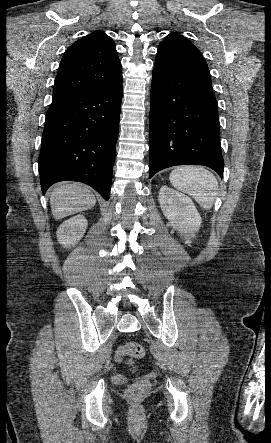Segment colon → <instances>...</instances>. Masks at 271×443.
<instances>
[{
  "label": "colon",
  "instance_id": "obj_1",
  "mask_svg": "<svg viewBox=\"0 0 271 443\" xmlns=\"http://www.w3.org/2000/svg\"><path fill=\"white\" fill-rule=\"evenodd\" d=\"M144 356V348L137 342L129 341L120 345L116 350V358L121 361L125 357L140 359ZM149 383L147 380L141 379L127 388V396L131 400L140 399L148 390Z\"/></svg>",
  "mask_w": 271,
  "mask_h": 443
}]
</instances>
